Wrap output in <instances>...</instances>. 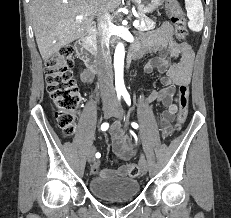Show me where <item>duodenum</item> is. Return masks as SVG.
Here are the masks:
<instances>
[{
    "instance_id": "410a0bca",
    "label": "duodenum",
    "mask_w": 231,
    "mask_h": 218,
    "mask_svg": "<svg viewBox=\"0 0 231 218\" xmlns=\"http://www.w3.org/2000/svg\"><path fill=\"white\" fill-rule=\"evenodd\" d=\"M95 29L90 27L87 32L76 41L75 48L78 54L84 60L88 70L91 73H97L99 70L98 59L92 51V38L94 36ZM139 57L137 50H132L129 54L131 60H135Z\"/></svg>"
}]
</instances>
